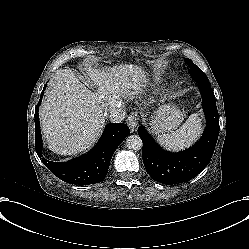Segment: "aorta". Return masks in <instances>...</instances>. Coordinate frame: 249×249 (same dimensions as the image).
<instances>
[{
    "label": "aorta",
    "instance_id": "1",
    "mask_svg": "<svg viewBox=\"0 0 249 249\" xmlns=\"http://www.w3.org/2000/svg\"><path fill=\"white\" fill-rule=\"evenodd\" d=\"M125 143L128 149L133 151H140L143 147L142 140L138 135H129Z\"/></svg>",
    "mask_w": 249,
    "mask_h": 249
}]
</instances>
